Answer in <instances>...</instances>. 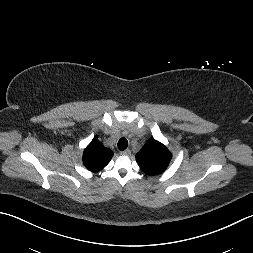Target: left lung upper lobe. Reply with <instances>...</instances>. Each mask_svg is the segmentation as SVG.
I'll return each instance as SVG.
<instances>
[{
	"label": "left lung upper lobe",
	"instance_id": "obj_1",
	"mask_svg": "<svg viewBox=\"0 0 253 253\" xmlns=\"http://www.w3.org/2000/svg\"><path fill=\"white\" fill-rule=\"evenodd\" d=\"M171 153L167 148L151 138L136 154V160L141 169L149 175H157L165 171L171 160Z\"/></svg>",
	"mask_w": 253,
	"mask_h": 253
}]
</instances>
